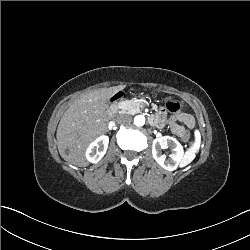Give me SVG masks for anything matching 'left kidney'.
<instances>
[{"label": "left kidney", "mask_w": 250, "mask_h": 250, "mask_svg": "<svg viewBox=\"0 0 250 250\" xmlns=\"http://www.w3.org/2000/svg\"><path fill=\"white\" fill-rule=\"evenodd\" d=\"M170 147L172 154L170 158L166 159L165 155H162L161 150ZM183 147L182 145L173 137L163 136L161 138H156L152 144V155L155 161L165 170L174 171L177 169L179 163L183 158Z\"/></svg>", "instance_id": "obj_1"}]
</instances>
